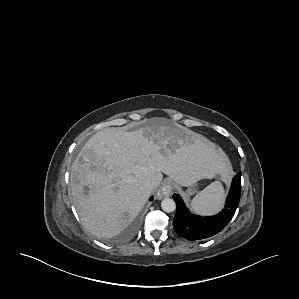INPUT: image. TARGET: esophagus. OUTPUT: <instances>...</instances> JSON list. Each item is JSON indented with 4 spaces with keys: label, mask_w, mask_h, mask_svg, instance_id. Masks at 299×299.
<instances>
[{
    "label": "esophagus",
    "mask_w": 299,
    "mask_h": 299,
    "mask_svg": "<svg viewBox=\"0 0 299 299\" xmlns=\"http://www.w3.org/2000/svg\"><path fill=\"white\" fill-rule=\"evenodd\" d=\"M172 192L171 181H165L157 192L158 198L168 197Z\"/></svg>",
    "instance_id": "1"
}]
</instances>
